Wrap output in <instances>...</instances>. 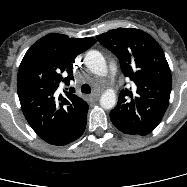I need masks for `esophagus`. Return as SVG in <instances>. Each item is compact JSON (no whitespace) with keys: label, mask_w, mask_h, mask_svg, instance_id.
<instances>
[{"label":"esophagus","mask_w":187,"mask_h":187,"mask_svg":"<svg viewBox=\"0 0 187 187\" xmlns=\"http://www.w3.org/2000/svg\"><path fill=\"white\" fill-rule=\"evenodd\" d=\"M100 97V94H97V93H93L89 96V100L94 102V101H97Z\"/></svg>","instance_id":"34e87169"}]
</instances>
